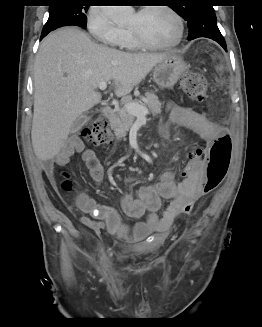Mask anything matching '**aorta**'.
<instances>
[{
  "label": "aorta",
  "instance_id": "obj_1",
  "mask_svg": "<svg viewBox=\"0 0 262 327\" xmlns=\"http://www.w3.org/2000/svg\"><path fill=\"white\" fill-rule=\"evenodd\" d=\"M123 16L122 13H116L113 15L114 20L118 19L119 17Z\"/></svg>",
  "mask_w": 262,
  "mask_h": 327
}]
</instances>
